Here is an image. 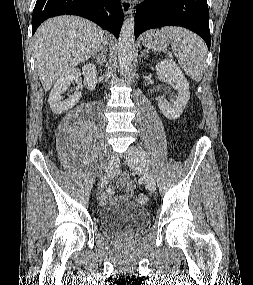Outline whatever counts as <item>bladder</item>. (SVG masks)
Listing matches in <instances>:
<instances>
[{
    "instance_id": "bladder-1",
    "label": "bladder",
    "mask_w": 253,
    "mask_h": 285,
    "mask_svg": "<svg viewBox=\"0 0 253 285\" xmlns=\"http://www.w3.org/2000/svg\"><path fill=\"white\" fill-rule=\"evenodd\" d=\"M102 229L110 234H130L141 231L149 223L148 211L139 205L126 203L103 208L99 212Z\"/></svg>"
}]
</instances>
